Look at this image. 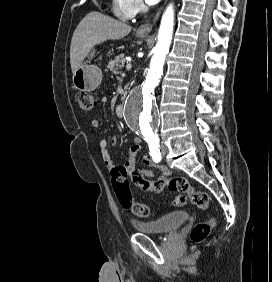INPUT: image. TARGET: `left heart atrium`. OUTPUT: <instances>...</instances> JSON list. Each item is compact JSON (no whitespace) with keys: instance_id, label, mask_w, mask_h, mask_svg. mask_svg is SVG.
Masks as SVG:
<instances>
[{"instance_id":"obj_1","label":"left heart atrium","mask_w":272,"mask_h":282,"mask_svg":"<svg viewBox=\"0 0 272 282\" xmlns=\"http://www.w3.org/2000/svg\"><path fill=\"white\" fill-rule=\"evenodd\" d=\"M160 0H146V2L149 4V5H155L159 2Z\"/></svg>"}]
</instances>
